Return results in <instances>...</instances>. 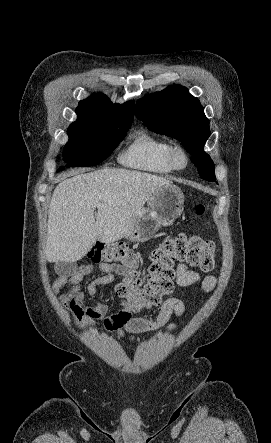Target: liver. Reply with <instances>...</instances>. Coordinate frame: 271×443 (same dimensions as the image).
<instances>
[{
    "instance_id": "liver-1",
    "label": "liver",
    "mask_w": 271,
    "mask_h": 443,
    "mask_svg": "<svg viewBox=\"0 0 271 443\" xmlns=\"http://www.w3.org/2000/svg\"><path fill=\"white\" fill-rule=\"evenodd\" d=\"M171 184L159 176L118 168L89 174L69 172L56 186L49 204L48 261H78L97 239L102 243L122 239L154 190Z\"/></svg>"
}]
</instances>
